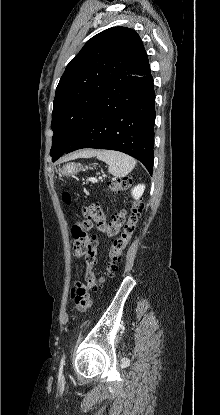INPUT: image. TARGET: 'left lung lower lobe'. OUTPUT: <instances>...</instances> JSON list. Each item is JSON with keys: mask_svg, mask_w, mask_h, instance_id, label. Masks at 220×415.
I'll return each instance as SVG.
<instances>
[{"mask_svg": "<svg viewBox=\"0 0 220 415\" xmlns=\"http://www.w3.org/2000/svg\"><path fill=\"white\" fill-rule=\"evenodd\" d=\"M155 115V92L148 64L109 86L65 152L81 148L120 151L142 162L152 175ZM62 154L52 157L53 161Z\"/></svg>", "mask_w": 220, "mask_h": 415, "instance_id": "left-lung-lower-lobe-1", "label": "left lung lower lobe"}]
</instances>
